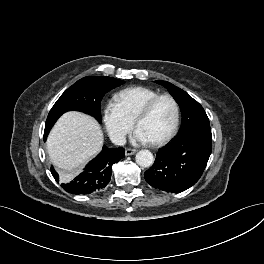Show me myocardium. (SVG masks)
I'll use <instances>...</instances> for the list:
<instances>
[{"label": "myocardium", "mask_w": 264, "mask_h": 264, "mask_svg": "<svg viewBox=\"0 0 264 264\" xmlns=\"http://www.w3.org/2000/svg\"><path fill=\"white\" fill-rule=\"evenodd\" d=\"M163 98H167L173 103L174 109H175V117H174V122H173V125H172L170 131L164 137H162L156 141H150L151 144L154 146H161V145L168 143L175 136V134L178 130L179 122H180V106H179L177 100L175 99V97L170 95V94H167V93L158 94L157 96L151 98L142 107V109L139 111V113L137 114V116L134 119L135 126L138 127V124L151 113L155 104Z\"/></svg>", "instance_id": "myocardium-1"}]
</instances>
